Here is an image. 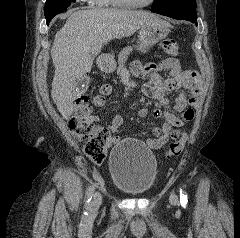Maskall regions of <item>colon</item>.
Masks as SVG:
<instances>
[{
  "mask_svg": "<svg viewBox=\"0 0 240 238\" xmlns=\"http://www.w3.org/2000/svg\"><path fill=\"white\" fill-rule=\"evenodd\" d=\"M161 48L171 56L179 54L177 43L173 39H165L161 42ZM91 115V105L87 96H80L75 100L73 115L68 121V128L71 134L79 139L84 140L85 154L95 162H100L107 148L108 133L103 128L93 126L88 122ZM179 135H174V139ZM187 143V136L184 134L175 140L169 147L167 157L178 156L182 153Z\"/></svg>",
  "mask_w": 240,
  "mask_h": 238,
  "instance_id": "5ec220e1",
  "label": "colon"
}]
</instances>
